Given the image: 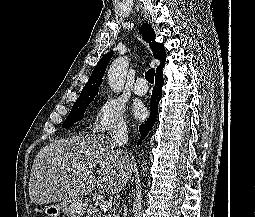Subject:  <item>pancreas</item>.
<instances>
[{
	"label": "pancreas",
	"instance_id": "obj_1",
	"mask_svg": "<svg viewBox=\"0 0 255 217\" xmlns=\"http://www.w3.org/2000/svg\"><path fill=\"white\" fill-rule=\"evenodd\" d=\"M99 206H100L99 202L91 203L87 210L86 217H100L102 212L100 211ZM104 217H119V215L116 213L115 210H112V212H109L108 214L104 215Z\"/></svg>",
	"mask_w": 255,
	"mask_h": 217
}]
</instances>
